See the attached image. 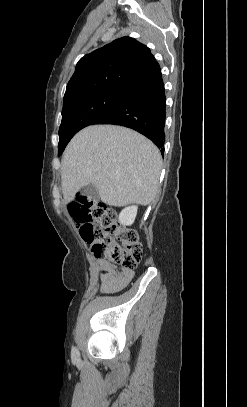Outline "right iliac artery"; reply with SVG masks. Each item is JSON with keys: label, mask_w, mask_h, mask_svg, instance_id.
I'll use <instances>...</instances> for the list:
<instances>
[{"label": "right iliac artery", "mask_w": 247, "mask_h": 407, "mask_svg": "<svg viewBox=\"0 0 247 407\" xmlns=\"http://www.w3.org/2000/svg\"><path fill=\"white\" fill-rule=\"evenodd\" d=\"M72 353L73 354H78V350L75 347H72Z\"/></svg>", "instance_id": "1"}]
</instances>
